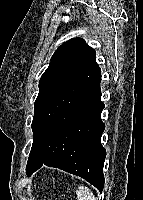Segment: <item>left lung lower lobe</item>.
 I'll return each instance as SVG.
<instances>
[{
    "label": "left lung lower lobe",
    "mask_w": 143,
    "mask_h": 200,
    "mask_svg": "<svg viewBox=\"0 0 143 200\" xmlns=\"http://www.w3.org/2000/svg\"><path fill=\"white\" fill-rule=\"evenodd\" d=\"M101 70L95 57L37 114L26 174L57 167L86 179L101 192L106 150L101 145Z\"/></svg>",
    "instance_id": "0a47b994"
}]
</instances>
